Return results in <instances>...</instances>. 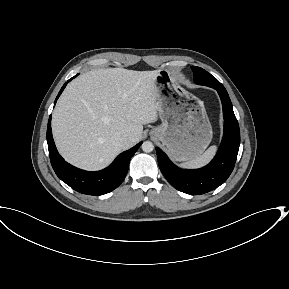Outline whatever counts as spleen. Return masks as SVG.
Returning a JSON list of instances; mask_svg holds the SVG:
<instances>
[{"instance_id": "obj_1", "label": "spleen", "mask_w": 289, "mask_h": 289, "mask_svg": "<svg viewBox=\"0 0 289 289\" xmlns=\"http://www.w3.org/2000/svg\"><path fill=\"white\" fill-rule=\"evenodd\" d=\"M216 149V146H211L201 156L181 163L180 166L184 168H199L205 166L215 155Z\"/></svg>"}]
</instances>
